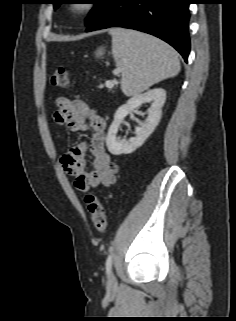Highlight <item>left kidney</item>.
Returning <instances> with one entry per match:
<instances>
[{
  "label": "left kidney",
  "mask_w": 236,
  "mask_h": 321,
  "mask_svg": "<svg viewBox=\"0 0 236 321\" xmlns=\"http://www.w3.org/2000/svg\"><path fill=\"white\" fill-rule=\"evenodd\" d=\"M165 100L166 91L162 88H156L136 95L121 105L117 109L114 121L108 130L106 144L109 152L113 155L130 154L139 148L158 125ZM150 102L151 107L148 110V117L144 122H138L139 126L135 128V137L129 140H118L116 134L124 118L143 103Z\"/></svg>",
  "instance_id": "5707ae66"
}]
</instances>
